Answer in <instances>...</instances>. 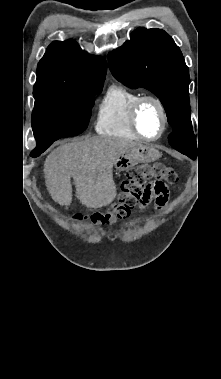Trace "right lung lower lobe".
Wrapping results in <instances>:
<instances>
[{
    "instance_id": "right-lung-lower-lobe-1",
    "label": "right lung lower lobe",
    "mask_w": 221,
    "mask_h": 379,
    "mask_svg": "<svg viewBox=\"0 0 221 379\" xmlns=\"http://www.w3.org/2000/svg\"><path fill=\"white\" fill-rule=\"evenodd\" d=\"M46 150V148H41V149H34L32 152H31V156L32 157H37L39 156L42 152H44Z\"/></svg>"
}]
</instances>
